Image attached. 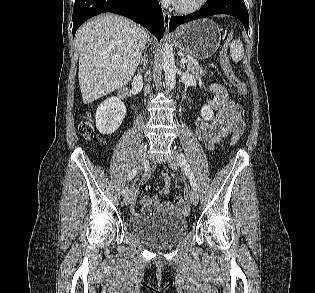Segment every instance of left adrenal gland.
Here are the masks:
<instances>
[{
    "label": "left adrenal gland",
    "mask_w": 315,
    "mask_h": 293,
    "mask_svg": "<svg viewBox=\"0 0 315 293\" xmlns=\"http://www.w3.org/2000/svg\"><path fill=\"white\" fill-rule=\"evenodd\" d=\"M180 66H181V68H182L183 70L187 71V70L185 69V65H184L183 63L180 62Z\"/></svg>",
    "instance_id": "left-adrenal-gland-1"
}]
</instances>
